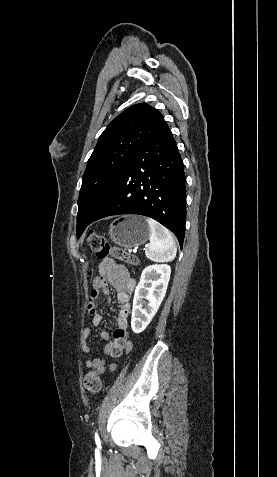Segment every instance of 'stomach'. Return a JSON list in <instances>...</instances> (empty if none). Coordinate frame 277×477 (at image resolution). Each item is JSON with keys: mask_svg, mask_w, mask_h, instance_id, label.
Returning <instances> with one entry per match:
<instances>
[{"mask_svg": "<svg viewBox=\"0 0 277 477\" xmlns=\"http://www.w3.org/2000/svg\"><path fill=\"white\" fill-rule=\"evenodd\" d=\"M150 235L146 218L129 215L114 220L109 227L111 240L124 249H132L144 244Z\"/></svg>", "mask_w": 277, "mask_h": 477, "instance_id": "obj_1", "label": "stomach"}]
</instances>
